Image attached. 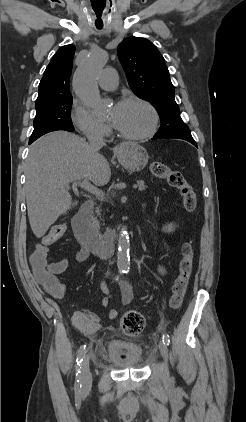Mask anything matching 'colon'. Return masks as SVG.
Instances as JSON below:
<instances>
[{
	"instance_id": "colon-1",
	"label": "colon",
	"mask_w": 246,
	"mask_h": 422,
	"mask_svg": "<svg viewBox=\"0 0 246 422\" xmlns=\"http://www.w3.org/2000/svg\"><path fill=\"white\" fill-rule=\"evenodd\" d=\"M151 172L155 177L167 180L172 187L179 191L186 211L193 212L196 209V193L180 172L173 171L167 165L158 161L151 164ZM65 232L66 226L64 224L52 226L49 232L43 237L42 243L38 245L32 253L30 264L36 276H46L48 269V247L58 241ZM193 261V244L192 242H186L182 247V257L178 263L177 276L172 284L170 306L175 310L179 309L184 302L189 279L193 270ZM119 323L123 333L129 336H136L143 331L145 327V318L141 313L131 310L122 315Z\"/></svg>"
}]
</instances>
